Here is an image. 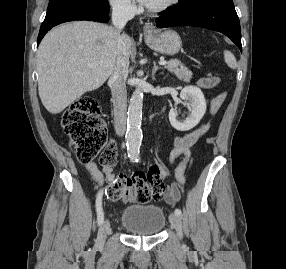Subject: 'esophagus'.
<instances>
[{
  "mask_svg": "<svg viewBox=\"0 0 286 269\" xmlns=\"http://www.w3.org/2000/svg\"><path fill=\"white\" fill-rule=\"evenodd\" d=\"M153 30L154 26L151 23H146L143 27V32L146 36L150 35L153 32Z\"/></svg>",
  "mask_w": 286,
  "mask_h": 269,
  "instance_id": "1",
  "label": "esophagus"
}]
</instances>
